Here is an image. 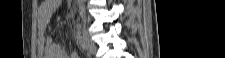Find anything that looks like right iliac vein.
I'll return each instance as SVG.
<instances>
[{
  "label": "right iliac vein",
  "mask_w": 225,
  "mask_h": 58,
  "mask_svg": "<svg viewBox=\"0 0 225 58\" xmlns=\"http://www.w3.org/2000/svg\"><path fill=\"white\" fill-rule=\"evenodd\" d=\"M82 38L84 40L85 49L89 51L90 53H95L96 46L93 43V41L90 39V37L88 36V33L86 32L84 28L82 29Z\"/></svg>",
  "instance_id": "right-iliac-vein-1"
}]
</instances>
